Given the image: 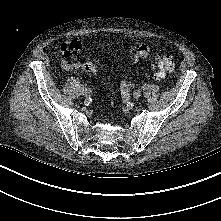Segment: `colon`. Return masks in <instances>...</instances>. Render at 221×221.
I'll list each match as a JSON object with an SVG mask.
<instances>
[{
    "label": "colon",
    "mask_w": 221,
    "mask_h": 221,
    "mask_svg": "<svg viewBox=\"0 0 221 221\" xmlns=\"http://www.w3.org/2000/svg\"><path fill=\"white\" fill-rule=\"evenodd\" d=\"M132 53L136 59H145L151 62L155 69L156 79H164L175 68L174 59L158 50H152L146 44H137L132 48ZM82 70L88 74H94L96 71L95 63L93 61H86L82 64Z\"/></svg>",
    "instance_id": "obj_1"
}]
</instances>
